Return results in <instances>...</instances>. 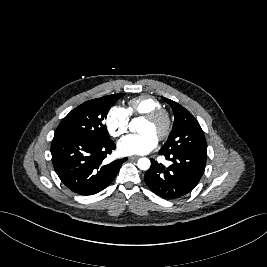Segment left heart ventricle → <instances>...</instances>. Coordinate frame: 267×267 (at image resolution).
I'll return each mask as SVG.
<instances>
[{"label": "left heart ventricle", "instance_id": "obj_1", "mask_svg": "<svg viewBox=\"0 0 267 267\" xmlns=\"http://www.w3.org/2000/svg\"><path fill=\"white\" fill-rule=\"evenodd\" d=\"M161 129L160 124L151 123L147 120H144L139 128L140 133H151L157 137Z\"/></svg>", "mask_w": 267, "mask_h": 267}]
</instances>
